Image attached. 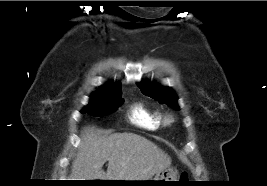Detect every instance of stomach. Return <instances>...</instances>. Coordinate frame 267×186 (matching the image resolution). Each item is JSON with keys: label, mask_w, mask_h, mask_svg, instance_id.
Returning <instances> with one entry per match:
<instances>
[{"label": "stomach", "mask_w": 267, "mask_h": 186, "mask_svg": "<svg viewBox=\"0 0 267 186\" xmlns=\"http://www.w3.org/2000/svg\"><path fill=\"white\" fill-rule=\"evenodd\" d=\"M177 172L171 166L164 168L162 171L158 172L154 178L145 181H152L148 182L145 185L150 186H167L171 185L172 182H165V181H177Z\"/></svg>", "instance_id": "obj_1"}]
</instances>
